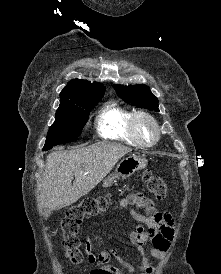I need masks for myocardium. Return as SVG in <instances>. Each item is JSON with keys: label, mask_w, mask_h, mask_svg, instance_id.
Returning a JSON list of instances; mask_svg holds the SVG:
<instances>
[{"label": "myocardium", "mask_w": 221, "mask_h": 274, "mask_svg": "<svg viewBox=\"0 0 221 274\" xmlns=\"http://www.w3.org/2000/svg\"><path fill=\"white\" fill-rule=\"evenodd\" d=\"M141 121H147L152 125L154 130V139L152 142H146L142 139L139 132V125ZM130 131L135 140L142 147H152L156 145L160 139V127L157 120L151 114L145 111L134 112L130 121Z\"/></svg>", "instance_id": "1"}]
</instances>
